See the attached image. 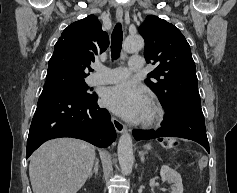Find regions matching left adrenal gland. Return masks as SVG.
<instances>
[{
  "mask_svg": "<svg viewBox=\"0 0 237 193\" xmlns=\"http://www.w3.org/2000/svg\"><path fill=\"white\" fill-rule=\"evenodd\" d=\"M146 154V152H141L140 156H141V162L144 163L145 162V157L144 155Z\"/></svg>",
  "mask_w": 237,
  "mask_h": 193,
  "instance_id": "left-adrenal-gland-1",
  "label": "left adrenal gland"
}]
</instances>
